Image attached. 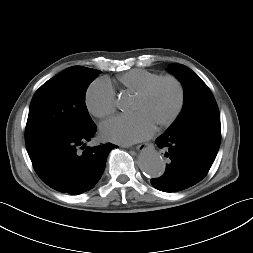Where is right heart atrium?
I'll return each instance as SVG.
<instances>
[{"label":"right heart atrium","mask_w":253,"mask_h":253,"mask_svg":"<svg viewBox=\"0 0 253 253\" xmlns=\"http://www.w3.org/2000/svg\"><path fill=\"white\" fill-rule=\"evenodd\" d=\"M85 104L90 114L106 118L116 109L115 92L105 79H97L90 84L85 93Z\"/></svg>","instance_id":"1"}]
</instances>
